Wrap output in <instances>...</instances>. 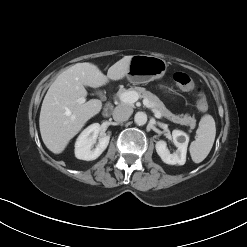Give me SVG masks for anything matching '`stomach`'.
Masks as SVG:
<instances>
[{
	"label": "stomach",
	"mask_w": 247,
	"mask_h": 247,
	"mask_svg": "<svg viewBox=\"0 0 247 247\" xmlns=\"http://www.w3.org/2000/svg\"><path fill=\"white\" fill-rule=\"evenodd\" d=\"M167 70L166 61L153 55H134L131 58L127 79L132 84H144L162 78Z\"/></svg>",
	"instance_id": "0dacf381"
}]
</instances>
